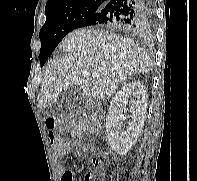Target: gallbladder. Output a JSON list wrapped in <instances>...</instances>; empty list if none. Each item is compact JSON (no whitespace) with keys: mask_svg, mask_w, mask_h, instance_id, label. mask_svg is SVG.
<instances>
[{"mask_svg":"<svg viewBox=\"0 0 197 181\" xmlns=\"http://www.w3.org/2000/svg\"><path fill=\"white\" fill-rule=\"evenodd\" d=\"M75 93V90L73 88H68L66 89L65 93L62 94V98L60 100H58L56 103L53 104V107H56L58 105L62 106V103L64 102V100H68L70 99V95L71 93ZM70 106L71 108L75 105V99L73 101L70 100ZM52 108H50L51 110Z\"/></svg>","mask_w":197,"mask_h":181,"instance_id":"1","label":"gallbladder"}]
</instances>
